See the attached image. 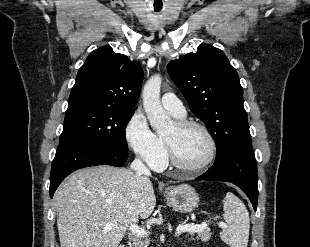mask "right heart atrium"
I'll list each match as a JSON object with an SVG mask.
<instances>
[{
    "label": "right heart atrium",
    "mask_w": 310,
    "mask_h": 247,
    "mask_svg": "<svg viewBox=\"0 0 310 247\" xmlns=\"http://www.w3.org/2000/svg\"><path fill=\"white\" fill-rule=\"evenodd\" d=\"M125 140L136 156L153 169L165 165L167 151L164 142L149 127L145 116L136 112L124 130Z\"/></svg>",
    "instance_id": "right-heart-atrium-1"
}]
</instances>
